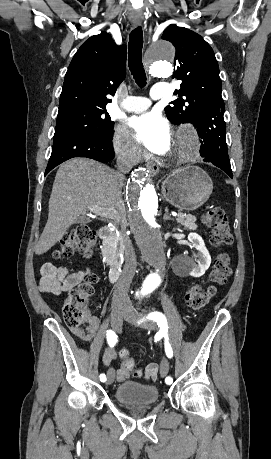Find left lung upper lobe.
Segmentation results:
<instances>
[{
    "label": "left lung upper lobe",
    "mask_w": 271,
    "mask_h": 459,
    "mask_svg": "<svg viewBox=\"0 0 271 459\" xmlns=\"http://www.w3.org/2000/svg\"><path fill=\"white\" fill-rule=\"evenodd\" d=\"M162 39L176 48L173 77L182 81L181 88L174 92L180 99L165 108L168 119L176 125L192 123L197 128L217 117L222 118V84L210 45L195 32L174 24L165 29Z\"/></svg>",
    "instance_id": "obj_1"
}]
</instances>
